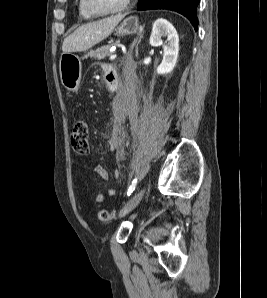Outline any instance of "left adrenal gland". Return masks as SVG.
Here are the masks:
<instances>
[{
	"mask_svg": "<svg viewBox=\"0 0 267 298\" xmlns=\"http://www.w3.org/2000/svg\"><path fill=\"white\" fill-rule=\"evenodd\" d=\"M142 32H143V29H141L140 33H139V37H137L136 39H134L131 47H130V50L128 52V56H131L132 55V51H133V48L135 47V52H136V57H138V45L139 43L141 42V39H142Z\"/></svg>",
	"mask_w": 267,
	"mask_h": 298,
	"instance_id": "obj_1",
	"label": "left adrenal gland"
}]
</instances>
